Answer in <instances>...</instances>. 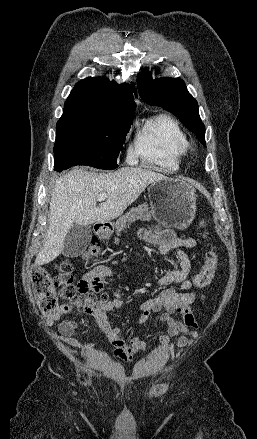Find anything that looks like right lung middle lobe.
<instances>
[{
    "label": "right lung middle lobe",
    "instance_id": "1",
    "mask_svg": "<svg viewBox=\"0 0 257 439\" xmlns=\"http://www.w3.org/2000/svg\"><path fill=\"white\" fill-rule=\"evenodd\" d=\"M133 120L134 113L123 117L62 116L56 126L54 169L62 171L75 165L117 168V158Z\"/></svg>",
    "mask_w": 257,
    "mask_h": 439
}]
</instances>
